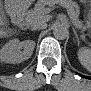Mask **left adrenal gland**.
<instances>
[{"instance_id":"1","label":"left adrenal gland","mask_w":91,"mask_h":91,"mask_svg":"<svg viewBox=\"0 0 91 91\" xmlns=\"http://www.w3.org/2000/svg\"><path fill=\"white\" fill-rule=\"evenodd\" d=\"M73 32H74L75 37H76V40H77V42H78V44H79V43H80V40H79V37H78V34H77L75 28H73Z\"/></svg>"}]
</instances>
